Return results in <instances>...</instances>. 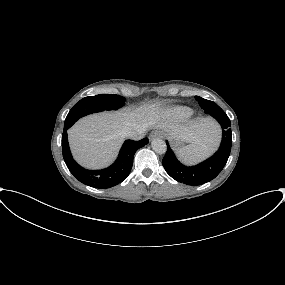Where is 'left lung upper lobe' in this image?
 Instances as JSON below:
<instances>
[{
  "instance_id": "left-lung-upper-lobe-1",
  "label": "left lung upper lobe",
  "mask_w": 285,
  "mask_h": 285,
  "mask_svg": "<svg viewBox=\"0 0 285 285\" xmlns=\"http://www.w3.org/2000/svg\"><path fill=\"white\" fill-rule=\"evenodd\" d=\"M195 99L198 101L200 107L204 110L205 113L211 114L215 111L222 110L215 102L203 99L199 96H195Z\"/></svg>"
}]
</instances>
